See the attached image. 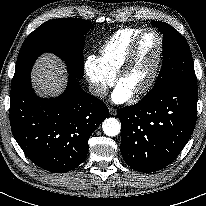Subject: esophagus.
I'll use <instances>...</instances> for the list:
<instances>
[{
	"label": "esophagus",
	"instance_id": "1",
	"mask_svg": "<svg viewBox=\"0 0 206 206\" xmlns=\"http://www.w3.org/2000/svg\"><path fill=\"white\" fill-rule=\"evenodd\" d=\"M109 112L111 115H117V109H115V108H110Z\"/></svg>",
	"mask_w": 206,
	"mask_h": 206
}]
</instances>
